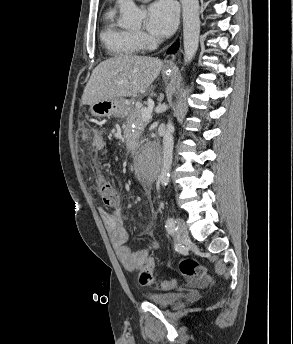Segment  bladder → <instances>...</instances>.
<instances>
[{
	"label": "bladder",
	"mask_w": 293,
	"mask_h": 344,
	"mask_svg": "<svg viewBox=\"0 0 293 344\" xmlns=\"http://www.w3.org/2000/svg\"><path fill=\"white\" fill-rule=\"evenodd\" d=\"M148 301L156 306L169 308L178 304L183 300L184 296L180 293L164 292V293H148Z\"/></svg>",
	"instance_id": "obj_1"
}]
</instances>
